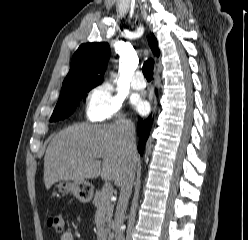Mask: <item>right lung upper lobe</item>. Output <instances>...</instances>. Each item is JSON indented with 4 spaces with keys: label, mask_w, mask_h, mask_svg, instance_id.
<instances>
[{
    "label": "right lung upper lobe",
    "mask_w": 248,
    "mask_h": 240,
    "mask_svg": "<svg viewBox=\"0 0 248 240\" xmlns=\"http://www.w3.org/2000/svg\"><path fill=\"white\" fill-rule=\"evenodd\" d=\"M148 43L154 55L159 56L160 50L154 35L148 39ZM109 57L110 47L108 43L81 44L72 57L70 71L61 90L71 87L92 89L99 85L103 80Z\"/></svg>",
    "instance_id": "obj_1"
}]
</instances>
